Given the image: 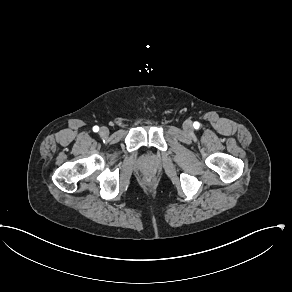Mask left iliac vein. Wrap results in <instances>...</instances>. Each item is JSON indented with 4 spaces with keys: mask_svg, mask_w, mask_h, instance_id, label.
<instances>
[{
    "mask_svg": "<svg viewBox=\"0 0 292 292\" xmlns=\"http://www.w3.org/2000/svg\"><path fill=\"white\" fill-rule=\"evenodd\" d=\"M192 127H193V125H192V122L191 121H186L183 124V128L186 131H191L192 130Z\"/></svg>",
    "mask_w": 292,
    "mask_h": 292,
    "instance_id": "left-iliac-vein-1",
    "label": "left iliac vein"
}]
</instances>
